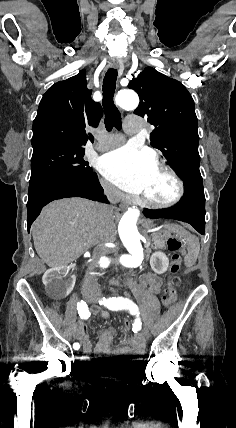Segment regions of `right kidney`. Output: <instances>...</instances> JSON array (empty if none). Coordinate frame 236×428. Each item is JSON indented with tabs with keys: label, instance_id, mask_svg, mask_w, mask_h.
I'll return each instance as SVG.
<instances>
[{
	"label": "right kidney",
	"instance_id": "1",
	"mask_svg": "<svg viewBox=\"0 0 236 428\" xmlns=\"http://www.w3.org/2000/svg\"><path fill=\"white\" fill-rule=\"evenodd\" d=\"M68 277V272L66 269L62 268H51L47 270L46 274L43 276V284H45V291L49 293L50 301H63L65 296H68L72 292L76 276H70L69 280H66Z\"/></svg>",
	"mask_w": 236,
	"mask_h": 428
}]
</instances>
